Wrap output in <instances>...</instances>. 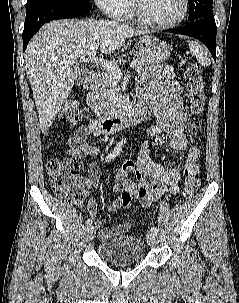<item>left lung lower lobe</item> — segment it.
Here are the masks:
<instances>
[{"label":"left lung lower lobe","instance_id":"0a47b994","mask_svg":"<svg viewBox=\"0 0 239 303\" xmlns=\"http://www.w3.org/2000/svg\"><path fill=\"white\" fill-rule=\"evenodd\" d=\"M194 37L203 42L216 60V24L214 17L201 18L181 28L165 30Z\"/></svg>","mask_w":239,"mask_h":303}]
</instances>
